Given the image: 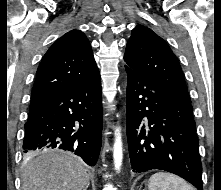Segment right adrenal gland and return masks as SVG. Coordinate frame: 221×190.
I'll use <instances>...</instances> for the list:
<instances>
[{
	"label": "right adrenal gland",
	"mask_w": 221,
	"mask_h": 190,
	"mask_svg": "<svg viewBox=\"0 0 221 190\" xmlns=\"http://www.w3.org/2000/svg\"><path fill=\"white\" fill-rule=\"evenodd\" d=\"M88 187H89V184L84 188V190H87L88 189Z\"/></svg>",
	"instance_id": "1"
}]
</instances>
